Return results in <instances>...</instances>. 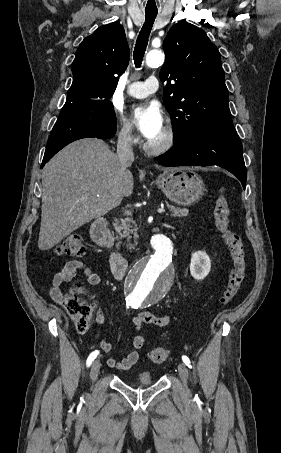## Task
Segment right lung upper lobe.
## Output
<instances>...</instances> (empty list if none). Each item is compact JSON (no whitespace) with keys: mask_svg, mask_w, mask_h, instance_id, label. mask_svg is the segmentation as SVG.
<instances>
[{"mask_svg":"<svg viewBox=\"0 0 281 453\" xmlns=\"http://www.w3.org/2000/svg\"><path fill=\"white\" fill-rule=\"evenodd\" d=\"M129 47L122 25L99 27L80 44L72 65L73 83L66 103H102L113 95L118 77L127 68Z\"/></svg>","mask_w":281,"mask_h":453,"instance_id":"1","label":"right lung upper lobe"}]
</instances>
